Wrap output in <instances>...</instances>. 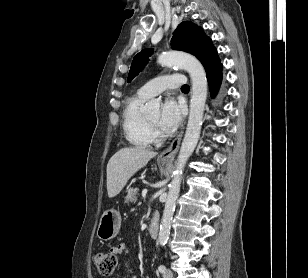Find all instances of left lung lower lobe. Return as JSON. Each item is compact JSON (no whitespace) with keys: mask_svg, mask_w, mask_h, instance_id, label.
<instances>
[{"mask_svg":"<svg viewBox=\"0 0 308 278\" xmlns=\"http://www.w3.org/2000/svg\"><path fill=\"white\" fill-rule=\"evenodd\" d=\"M207 80L210 86L211 95L214 96L219 89L222 80V64L206 72Z\"/></svg>","mask_w":308,"mask_h":278,"instance_id":"left-lung-lower-lobe-1","label":"left lung lower lobe"}]
</instances>
